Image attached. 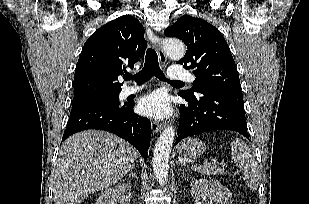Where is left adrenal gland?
Listing matches in <instances>:
<instances>
[{
  "label": "left adrenal gland",
  "instance_id": "left-adrenal-gland-1",
  "mask_svg": "<svg viewBox=\"0 0 309 204\" xmlns=\"http://www.w3.org/2000/svg\"><path fill=\"white\" fill-rule=\"evenodd\" d=\"M182 165H184V164H182ZM187 171H190V169L187 170L186 167H184V169H183V176L182 177H184L186 175Z\"/></svg>",
  "mask_w": 309,
  "mask_h": 204
}]
</instances>
